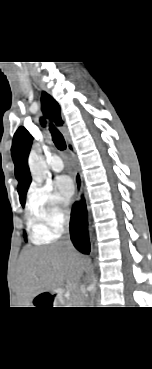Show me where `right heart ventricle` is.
Instances as JSON below:
<instances>
[{"label":"right heart ventricle","instance_id":"1","mask_svg":"<svg viewBox=\"0 0 152 369\" xmlns=\"http://www.w3.org/2000/svg\"><path fill=\"white\" fill-rule=\"evenodd\" d=\"M28 225L33 238L37 241H48L56 237L46 232L42 224L29 212Z\"/></svg>","mask_w":152,"mask_h":369}]
</instances>
